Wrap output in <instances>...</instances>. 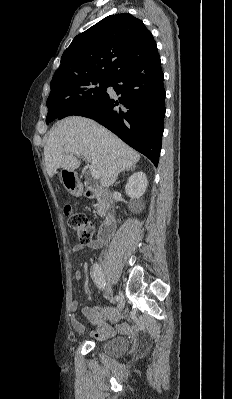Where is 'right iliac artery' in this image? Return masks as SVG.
<instances>
[{
    "instance_id": "1",
    "label": "right iliac artery",
    "mask_w": 232,
    "mask_h": 399,
    "mask_svg": "<svg viewBox=\"0 0 232 399\" xmlns=\"http://www.w3.org/2000/svg\"><path fill=\"white\" fill-rule=\"evenodd\" d=\"M91 277L99 289H105L106 283L103 276V269L98 262L93 263L91 266ZM115 299L118 301L120 296L116 294Z\"/></svg>"
}]
</instances>
